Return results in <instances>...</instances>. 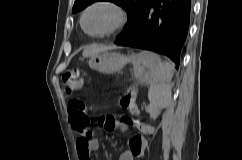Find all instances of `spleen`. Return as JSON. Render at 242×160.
Here are the masks:
<instances>
[{
  "instance_id": "spleen-1",
  "label": "spleen",
  "mask_w": 242,
  "mask_h": 160,
  "mask_svg": "<svg viewBox=\"0 0 242 160\" xmlns=\"http://www.w3.org/2000/svg\"><path fill=\"white\" fill-rule=\"evenodd\" d=\"M152 78L148 92L149 112H157L165 107L171 99L170 82L174 73V66L169 62H162L156 54L150 53Z\"/></svg>"
}]
</instances>
